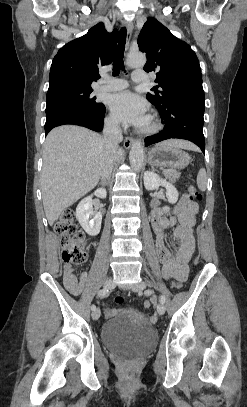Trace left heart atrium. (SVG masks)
I'll return each mask as SVG.
<instances>
[{"mask_svg":"<svg viewBox=\"0 0 247 407\" xmlns=\"http://www.w3.org/2000/svg\"><path fill=\"white\" fill-rule=\"evenodd\" d=\"M107 104L114 118L123 124L144 127L149 121L147 103L133 92L112 94Z\"/></svg>","mask_w":247,"mask_h":407,"instance_id":"left-heart-atrium-1","label":"left heart atrium"}]
</instances>
